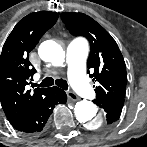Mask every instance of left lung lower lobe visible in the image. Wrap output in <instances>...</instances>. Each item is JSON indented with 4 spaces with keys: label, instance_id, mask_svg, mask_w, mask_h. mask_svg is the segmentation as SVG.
<instances>
[{
    "label": "left lung lower lobe",
    "instance_id": "0a47b994",
    "mask_svg": "<svg viewBox=\"0 0 147 147\" xmlns=\"http://www.w3.org/2000/svg\"><path fill=\"white\" fill-rule=\"evenodd\" d=\"M123 104L124 99H114L98 104L106 112V125H111L119 119Z\"/></svg>",
    "mask_w": 147,
    "mask_h": 147
}]
</instances>
